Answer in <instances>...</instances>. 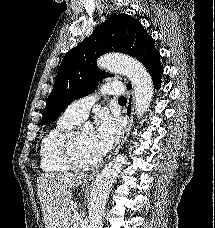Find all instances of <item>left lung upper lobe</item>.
Wrapping results in <instances>:
<instances>
[{
    "label": "left lung upper lobe",
    "mask_w": 215,
    "mask_h": 228,
    "mask_svg": "<svg viewBox=\"0 0 215 228\" xmlns=\"http://www.w3.org/2000/svg\"><path fill=\"white\" fill-rule=\"evenodd\" d=\"M113 51L131 55L146 67L158 50L138 20L127 14L110 16L64 56L43 111L42 125L55 121L74 100L93 93L100 79L113 76L96 66L99 56Z\"/></svg>",
    "instance_id": "obj_1"
}]
</instances>
